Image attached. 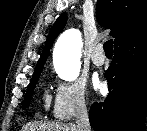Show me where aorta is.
I'll list each match as a JSON object with an SVG mask.
<instances>
[{
	"label": "aorta",
	"instance_id": "aorta-1",
	"mask_svg": "<svg viewBox=\"0 0 147 131\" xmlns=\"http://www.w3.org/2000/svg\"><path fill=\"white\" fill-rule=\"evenodd\" d=\"M81 34L76 29L67 30L58 38L53 52V64L58 76L65 81H74L80 73Z\"/></svg>",
	"mask_w": 147,
	"mask_h": 131
}]
</instances>
